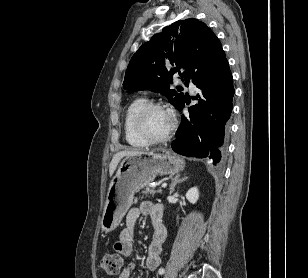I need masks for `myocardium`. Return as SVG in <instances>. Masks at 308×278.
Instances as JSON below:
<instances>
[{"instance_id":"f54148a6","label":"myocardium","mask_w":308,"mask_h":278,"mask_svg":"<svg viewBox=\"0 0 308 278\" xmlns=\"http://www.w3.org/2000/svg\"><path fill=\"white\" fill-rule=\"evenodd\" d=\"M154 109H163L165 110V106L162 105L161 103H156V102H149L144 104L134 115L133 117V125H134V129L137 132V134L143 139L145 140L148 144H161L164 143L166 141H168L171 136L172 133L174 131V122L171 119V123H170V127L168 129V131L166 132L165 135L161 136V137H153L146 129L145 127V117L146 115Z\"/></svg>"}]
</instances>
